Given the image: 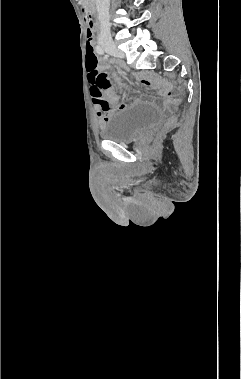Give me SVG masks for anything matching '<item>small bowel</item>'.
<instances>
[{
  "mask_svg": "<svg viewBox=\"0 0 241 379\" xmlns=\"http://www.w3.org/2000/svg\"><path fill=\"white\" fill-rule=\"evenodd\" d=\"M89 29H90V32H91V35H92L93 34L92 26H90ZM101 73H103L107 77V74L105 72L101 71ZM114 79H115L116 83H118L120 85L122 84V82H121V80H120L119 77L116 76ZM108 80H109V78H108ZM139 81H140V84L142 86H144V87H148L151 84V82L148 79H146V78H140ZM158 88L164 90V96L166 98V102H167L168 106H175V105L178 104V99L172 93L171 88L168 85L159 84ZM104 90L107 91L106 98H104V100L106 101V103L116 102L117 97L110 90V85L107 88H105ZM91 92H92L93 102H94V105H95L97 116L101 119V121H106L108 119V117H109V111H110L109 108L105 105L104 102H102L100 99H98V97L94 93V89H91ZM123 108H125V105H119V106H117V109H123Z\"/></svg>",
  "mask_w": 241,
  "mask_h": 379,
  "instance_id": "obj_1",
  "label": "small bowel"
}]
</instances>
